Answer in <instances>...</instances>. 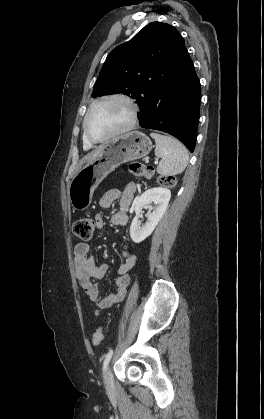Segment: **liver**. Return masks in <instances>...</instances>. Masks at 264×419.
<instances>
[{"instance_id":"liver-1","label":"liver","mask_w":264,"mask_h":419,"mask_svg":"<svg viewBox=\"0 0 264 419\" xmlns=\"http://www.w3.org/2000/svg\"><path fill=\"white\" fill-rule=\"evenodd\" d=\"M99 150H100V148L97 151H95L92 154H90L89 156H87L86 159L91 160V159L95 158L97 156Z\"/></svg>"}]
</instances>
